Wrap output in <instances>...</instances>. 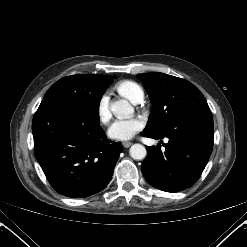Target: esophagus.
<instances>
[{
  "label": "esophagus",
  "instance_id": "esophagus-1",
  "mask_svg": "<svg viewBox=\"0 0 247 247\" xmlns=\"http://www.w3.org/2000/svg\"><path fill=\"white\" fill-rule=\"evenodd\" d=\"M122 144L125 148H129L132 145V142H123Z\"/></svg>",
  "mask_w": 247,
  "mask_h": 247
}]
</instances>
